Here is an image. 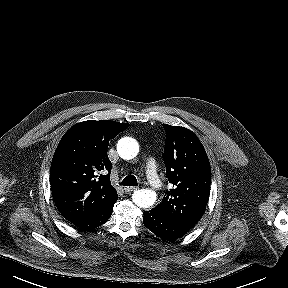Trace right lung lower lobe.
Wrapping results in <instances>:
<instances>
[{
    "label": "right lung lower lobe",
    "mask_w": 288,
    "mask_h": 288,
    "mask_svg": "<svg viewBox=\"0 0 288 288\" xmlns=\"http://www.w3.org/2000/svg\"><path fill=\"white\" fill-rule=\"evenodd\" d=\"M114 204L115 203L111 204L98 215L73 222V224L82 230H93L94 228L104 224L110 218Z\"/></svg>",
    "instance_id": "right-lung-lower-lobe-1"
}]
</instances>
